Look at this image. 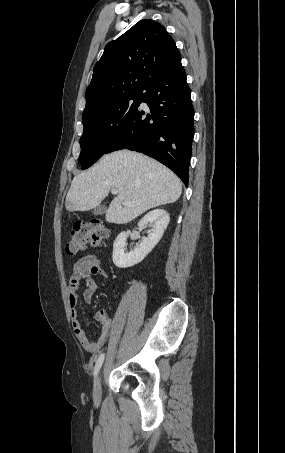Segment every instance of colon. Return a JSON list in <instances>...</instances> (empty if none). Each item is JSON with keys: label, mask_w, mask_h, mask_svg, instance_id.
Returning a JSON list of instances; mask_svg holds the SVG:
<instances>
[{"label": "colon", "mask_w": 285, "mask_h": 453, "mask_svg": "<svg viewBox=\"0 0 285 453\" xmlns=\"http://www.w3.org/2000/svg\"><path fill=\"white\" fill-rule=\"evenodd\" d=\"M108 236V230L100 220L75 224L66 243V252L75 255L82 252L87 245L98 247Z\"/></svg>", "instance_id": "1"}]
</instances>
